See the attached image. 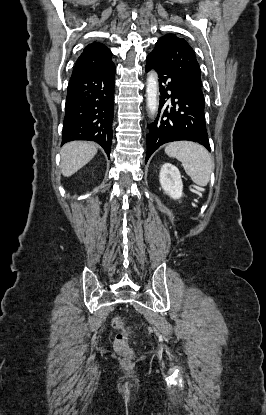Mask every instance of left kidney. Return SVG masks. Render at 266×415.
Wrapping results in <instances>:
<instances>
[{
    "instance_id": "1",
    "label": "left kidney",
    "mask_w": 266,
    "mask_h": 415,
    "mask_svg": "<svg viewBox=\"0 0 266 415\" xmlns=\"http://www.w3.org/2000/svg\"><path fill=\"white\" fill-rule=\"evenodd\" d=\"M159 181L164 192L172 199H179L183 196V183L181 174L177 167L170 163L162 165L159 175Z\"/></svg>"
}]
</instances>
